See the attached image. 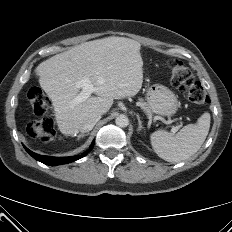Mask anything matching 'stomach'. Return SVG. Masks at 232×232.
I'll list each match as a JSON object with an SVG mask.
<instances>
[{"label":"stomach","mask_w":232,"mask_h":232,"mask_svg":"<svg viewBox=\"0 0 232 232\" xmlns=\"http://www.w3.org/2000/svg\"><path fill=\"white\" fill-rule=\"evenodd\" d=\"M147 102L152 112L161 116H173L179 107L177 96L163 85H153L147 93Z\"/></svg>","instance_id":"stomach-1"}]
</instances>
